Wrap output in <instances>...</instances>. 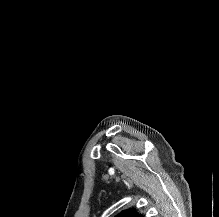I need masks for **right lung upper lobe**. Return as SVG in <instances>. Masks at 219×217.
<instances>
[{
	"label": "right lung upper lobe",
	"instance_id": "cb5924a9",
	"mask_svg": "<svg viewBox=\"0 0 219 217\" xmlns=\"http://www.w3.org/2000/svg\"><path fill=\"white\" fill-rule=\"evenodd\" d=\"M116 217H143L142 215L137 214L134 210H125Z\"/></svg>",
	"mask_w": 219,
	"mask_h": 217
}]
</instances>
